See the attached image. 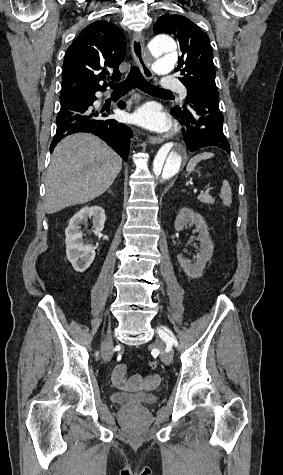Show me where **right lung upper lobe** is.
<instances>
[{"instance_id": "1", "label": "right lung upper lobe", "mask_w": 283, "mask_h": 475, "mask_svg": "<svg viewBox=\"0 0 283 475\" xmlns=\"http://www.w3.org/2000/svg\"><path fill=\"white\" fill-rule=\"evenodd\" d=\"M126 54L123 32L114 24L96 21L82 30L69 46L63 65L62 89L83 92L105 90L102 78L118 81L119 64ZM100 72L99 74H97Z\"/></svg>"}]
</instances>
